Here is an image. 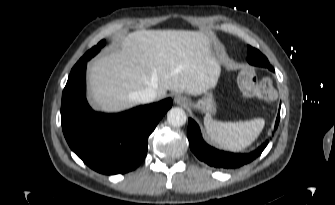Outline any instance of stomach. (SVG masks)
Here are the masks:
<instances>
[{
	"mask_svg": "<svg viewBox=\"0 0 335 205\" xmlns=\"http://www.w3.org/2000/svg\"><path fill=\"white\" fill-rule=\"evenodd\" d=\"M219 77V76H218ZM194 109L201 110L207 115H211L216 111V102L211 91H206L202 99L193 104Z\"/></svg>",
	"mask_w": 335,
	"mask_h": 205,
	"instance_id": "obj_1",
	"label": "stomach"
}]
</instances>
